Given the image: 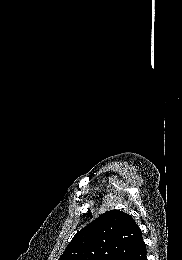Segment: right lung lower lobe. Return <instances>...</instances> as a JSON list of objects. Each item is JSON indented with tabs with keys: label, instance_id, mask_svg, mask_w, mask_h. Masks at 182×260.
Segmentation results:
<instances>
[{
	"label": "right lung lower lobe",
	"instance_id": "1",
	"mask_svg": "<svg viewBox=\"0 0 182 260\" xmlns=\"http://www.w3.org/2000/svg\"><path fill=\"white\" fill-rule=\"evenodd\" d=\"M129 260H147L146 247L141 248Z\"/></svg>",
	"mask_w": 182,
	"mask_h": 260
}]
</instances>
